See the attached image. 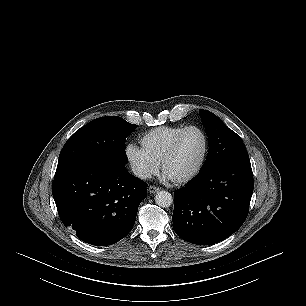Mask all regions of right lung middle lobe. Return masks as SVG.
<instances>
[{"label":"right lung middle lobe","mask_w":306,"mask_h":306,"mask_svg":"<svg viewBox=\"0 0 306 306\" xmlns=\"http://www.w3.org/2000/svg\"><path fill=\"white\" fill-rule=\"evenodd\" d=\"M136 127L117 116L101 117L89 122L65 143L56 173L89 162L126 164L125 141Z\"/></svg>","instance_id":"dd1d6c3e"}]
</instances>
